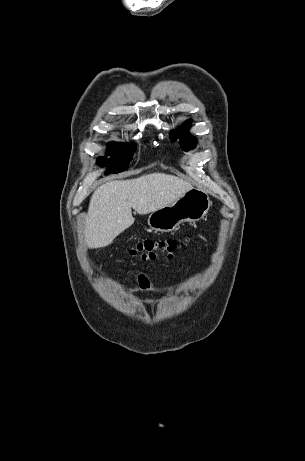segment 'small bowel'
I'll return each mask as SVG.
<instances>
[{
    "instance_id": "small-bowel-1",
    "label": "small bowel",
    "mask_w": 305,
    "mask_h": 461,
    "mask_svg": "<svg viewBox=\"0 0 305 461\" xmlns=\"http://www.w3.org/2000/svg\"><path fill=\"white\" fill-rule=\"evenodd\" d=\"M135 280H136V284L134 288L135 291L146 293L152 290V283L150 279L144 273H141V272L137 273L135 275Z\"/></svg>"
}]
</instances>
